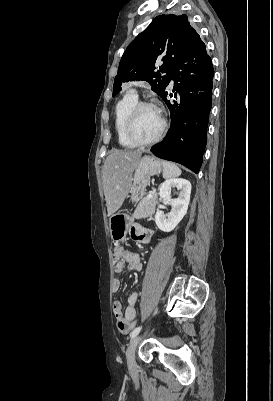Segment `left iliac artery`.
Segmentation results:
<instances>
[{
	"mask_svg": "<svg viewBox=\"0 0 273 401\" xmlns=\"http://www.w3.org/2000/svg\"><path fill=\"white\" fill-rule=\"evenodd\" d=\"M157 311H158V309L155 310L154 314H156ZM141 328H142L141 326L135 328V329L131 332L130 337H131L132 339H133L134 337H136V336L139 334V332L141 331Z\"/></svg>",
	"mask_w": 273,
	"mask_h": 401,
	"instance_id": "left-iliac-artery-1",
	"label": "left iliac artery"
}]
</instances>
